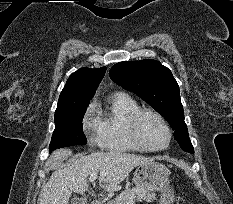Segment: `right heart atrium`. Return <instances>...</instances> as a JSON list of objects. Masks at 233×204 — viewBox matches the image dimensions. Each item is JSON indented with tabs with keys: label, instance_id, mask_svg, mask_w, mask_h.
I'll return each mask as SVG.
<instances>
[{
	"label": "right heart atrium",
	"instance_id": "obj_1",
	"mask_svg": "<svg viewBox=\"0 0 233 204\" xmlns=\"http://www.w3.org/2000/svg\"><path fill=\"white\" fill-rule=\"evenodd\" d=\"M82 127L89 145L92 147H101L102 139L100 127L95 114V106L93 104L89 105L83 116Z\"/></svg>",
	"mask_w": 233,
	"mask_h": 204
}]
</instances>
